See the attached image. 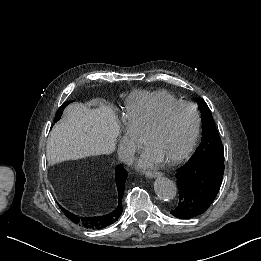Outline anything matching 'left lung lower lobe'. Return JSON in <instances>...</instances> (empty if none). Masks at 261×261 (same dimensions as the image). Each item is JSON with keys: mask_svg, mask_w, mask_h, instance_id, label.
<instances>
[{"mask_svg": "<svg viewBox=\"0 0 261 261\" xmlns=\"http://www.w3.org/2000/svg\"><path fill=\"white\" fill-rule=\"evenodd\" d=\"M224 174V158L213 155L191 157L176 173L179 201L170 213L179 219L203 214L219 192Z\"/></svg>", "mask_w": 261, "mask_h": 261, "instance_id": "1", "label": "left lung lower lobe"}]
</instances>
